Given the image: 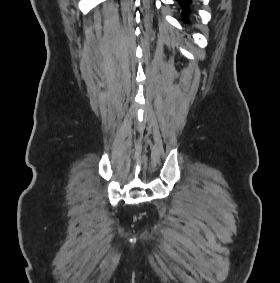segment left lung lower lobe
Here are the masks:
<instances>
[{
    "mask_svg": "<svg viewBox=\"0 0 280 283\" xmlns=\"http://www.w3.org/2000/svg\"><path fill=\"white\" fill-rule=\"evenodd\" d=\"M179 2V5L182 7V16L184 19H186V15L190 12V4L192 0H177Z\"/></svg>",
    "mask_w": 280,
    "mask_h": 283,
    "instance_id": "left-lung-lower-lobe-1",
    "label": "left lung lower lobe"
}]
</instances>
